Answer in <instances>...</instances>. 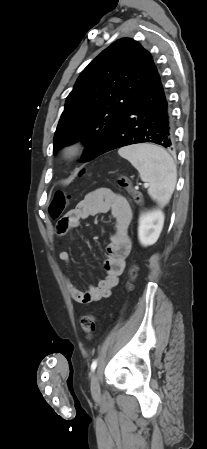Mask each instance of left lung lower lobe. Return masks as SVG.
Instances as JSON below:
<instances>
[{
    "instance_id": "obj_1",
    "label": "left lung lower lobe",
    "mask_w": 207,
    "mask_h": 449,
    "mask_svg": "<svg viewBox=\"0 0 207 449\" xmlns=\"http://www.w3.org/2000/svg\"><path fill=\"white\" fill-rule=\"evenodd\" d=\"M137 143H154L167 149L174 146L171 109L157 68L132 108L94 158Z\"/></svg>"
}]
</instances>
